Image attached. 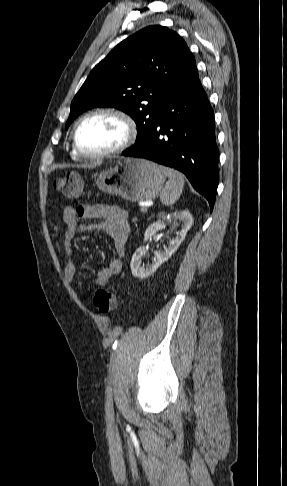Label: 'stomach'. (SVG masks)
Instances as JSON below:
<instances>
[{"label": "stomach", "instance_id": "stomach-1", "mask_svg": "<svg viewBox=\"0 0 287 486\" xmlns=\"http://www.w3.org/2000/svg\"><path fill=\"white\" fill-rule=\"evenodd\" d=\"M112 163L114 166L96 180L102 192L134 202L151 200L161 193L165 182L161 166L133 157L113 159Z\"/></svg>", "mask_w": 287, "mask_h": 486}]
</instances>
